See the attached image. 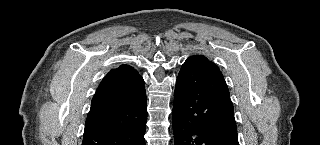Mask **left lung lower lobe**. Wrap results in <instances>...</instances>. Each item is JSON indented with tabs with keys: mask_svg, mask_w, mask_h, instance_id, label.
Instances as JSON below:
<instances>
[{
	"mask_svg": "<svg viewBox=\"0 0 320 145\" xmlns=\"http://www.w3.org/2000/svg\"><path fill=\"white\" fill-rule=\"evenodd\" d=\"M175 145H239L233 104L217 66L187 59L176 80Z\"/></svg>",
	"mask_w": 320,
	"mask_h": 145,
	"instance_id": "1",
	"label": "left lung lower lobe"
}]
</instances>
